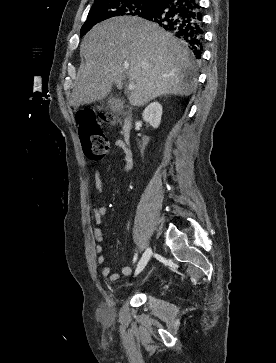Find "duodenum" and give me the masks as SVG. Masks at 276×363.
<instances>
[{
	"instance_id": "obj_1",
	"label": "duodenum",
	"mask_w": 276,
	"mask_h": 363,
	"mask_svg": "<svg viewBox=\"0 0 276 363\" xmlns=\"http://www.w3.org/2000/svg\"><path fill=\"white\" fill-rule=\"evenodd\" d=\"M133 124V115L131 112H126L124 115L123 125H122V137L125 143L129 142L131 130Z\"/></svg>"
}]
</instances>
